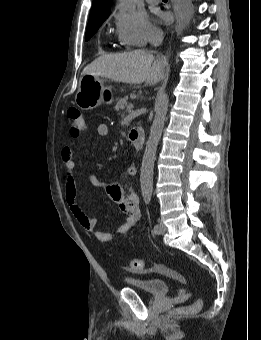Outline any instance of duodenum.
I'll return each mask as SVG.
<instances>
[{
	"label": "duodenum",
	"mask_w": 261,
	"mask_h": 340,
	"mask_svg": "<svg viewBox=\"0 0 261 340\" xmlns=\"http://www.w3.org/2000/svg\"><path fill=\"white\" fill-rule=\"evenodd\" d=\"M129 140L136 149H141L144 143V131L142 128H133L129 132Z\"/></svg>",
	"instance_id": "410a0bca"
}]
</instances>
